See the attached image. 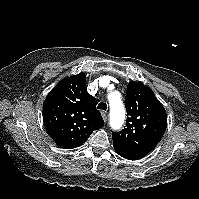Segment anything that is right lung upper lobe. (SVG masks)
I'll return each mask as SVG.
<instances>
[{
    "label": "right lung upper lobe",
    "mask_w": 199,
    "mask_h": 199,
    "mask_svg": "<svg viewBox=\"0 0 199 199\" xmlns=\"http://www.w3.org/2000/svg\"><path fill=\"white\" fill-rule=\"evenodd\" d=\"M84 73L61 80L43 104L47 133L63 149L82 145L104 121L96 109V99L86 90Z\"/></svg>",
    "instance_id": "right-lung-upper-lobe-1"
}]
</instances>
